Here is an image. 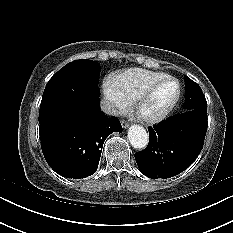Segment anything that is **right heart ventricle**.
<instances>
[{"label": "right heart ventricle", "mask_w": 233, "mask_h": 233, "mask_svg": "<svg viewBox=\"0 0 233 233\" xmlns=\"http://www.w3.org/2000/svg\"><path fill=\"white\" fill-rule=\"evenodd\" d=\"M163 76H165V74L160 72L141 68H131L116 75L113 80L118 90L129 101H132L150 83Z\"/></svg>", "instance_id": "e07e8e85"}]
</instances>
